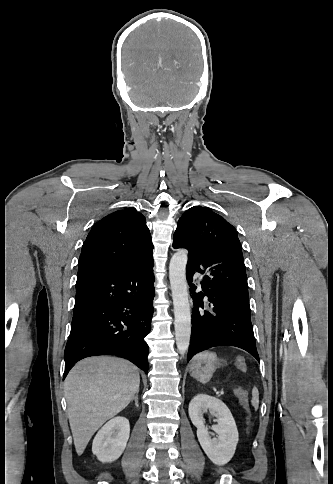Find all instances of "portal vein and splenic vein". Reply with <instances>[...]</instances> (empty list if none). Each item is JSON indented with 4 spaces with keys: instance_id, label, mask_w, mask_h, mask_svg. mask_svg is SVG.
<instances>
[{
    "instance_id": "18ae733b",
    "label": "portal vein and splenic vein",
    "mask_w": 333,
    "mask_h": 484,
    "mask_svg": "<svg viewBox=\"0 0 333 484\" xmlns=\"http://www.w3.org/2000/svg\"><path fill=\"white\" fill-rule=\"evenodd\" d=\"M219 394H220V395H224V390H223V389H220V390H219Z\"/></svg>"
}]
</instances>
